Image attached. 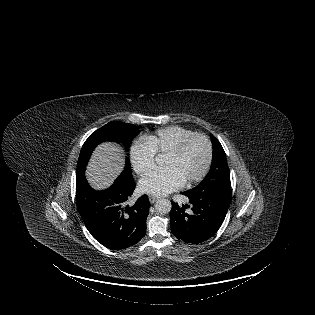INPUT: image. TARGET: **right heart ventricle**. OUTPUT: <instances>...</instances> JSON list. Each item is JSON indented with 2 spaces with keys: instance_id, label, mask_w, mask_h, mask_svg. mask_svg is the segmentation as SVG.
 <instances>
[{
  "instance_id": "obj_1",
  "label": "right heart ventricle",
  "mask_w": 315,
  "mask_h": 315,
  "mask_svg": "<svg viewBox=\"0 0 315 315\" xmlns=\"http://www.w3.org/2000/svg\"><path fill=\"white\" fill-rule=\"evenodd\" d=\"M194 133V131L188 128L171 125L158 129L153 134L147 136L146 140L150 143L155 153H167L181 140Z\"/></svg>"
}]
</instances>
